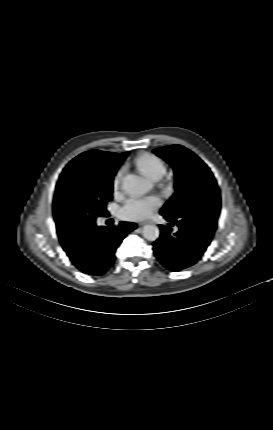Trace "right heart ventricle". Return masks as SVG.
<instances>
[{
	"mask_svg": "<svg viewBox=\"0 0 273 430\" xmlns=\"http://www.w3.org/2000/svg\"><path fill=\"white\" fill-rule=\"evenodd\" d=\"M136 167L154 180L162 178L166 172L164 161L151 153H143L134 159Z\"/></svg>",
	"mask_w": 273,
	"mask_h": 430,
	"instance_id": "e07e8e85",
	"label": "right heart ventricle"
}]
</instances>
